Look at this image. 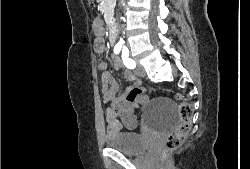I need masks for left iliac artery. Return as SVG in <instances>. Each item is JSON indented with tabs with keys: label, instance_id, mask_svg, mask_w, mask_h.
I'll return each instance as SVG.
<instances>
[{
	"label": "left iliac artery",
	"instance_id": "left-iliac-artery-1",
	"mask_svg": "<svg viewBox=\"0 0 250 169\" xmlns=\"http://www.w3.org/2000/svg\"><path fill=\"white\" fill-rule=\"evenodd\" d=\"M122 60L124 65L129 69H134L136 67V63L133 59L129 58V51H122Z\"/></svg>",
	"mask_w": 250,
	"mask_h": 169
}]
</instances>
